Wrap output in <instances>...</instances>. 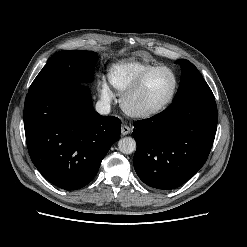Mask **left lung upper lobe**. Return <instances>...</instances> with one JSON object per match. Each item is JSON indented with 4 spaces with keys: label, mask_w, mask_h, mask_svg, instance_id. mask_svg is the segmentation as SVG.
Here are the masks:
<instances>
[{
    "label": "left lung upper lobe",
    "mask_w": 247,
    "mask_h": 247,
    "mask_svg": "<svg viewBox=\"0 0 247 247\" xmlns=\"http://www.w3.org/2000/svg\"><path fill=\"white\" fill-rule=\"evenodd\" d=\"M181 67V80L175 100L194 93L212 94L198 69L188 60L176 61Z\"/></svg>",
    "instance_id": "left-lung-upper-lobe-1"
}]
</instances>
